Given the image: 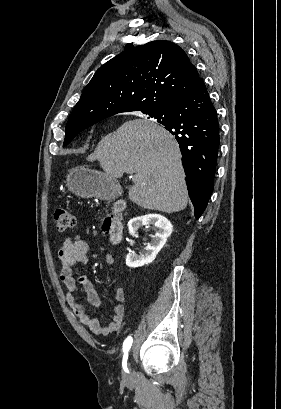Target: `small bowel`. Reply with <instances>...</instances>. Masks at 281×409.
Listing matches in <instances>:
<instances>
[{
    "mask_svg": "<svg viewBox=\"0 0 281 409\" xmlns=\"http://www.w3.org/2000/svg\"><path fill=\"white\" fill-rule=\"evenodd\" d=\"M90 245L78 235L65 238L58 251L60 259V280L66 288L65 299L80 323L88 327L96 335H109L118 331L126 313L123 302L125 301V291L123 288L115 290V299L118 301L113 308V319L106 326L93 318L84 308V302L94 308L101 307V300L94 288L92 281L85 275L75 277L74 270L80 263H85L88 259ZM105 263L108 266L114 264V257L111 254L105 256ZM77 285H81L84 291V298L79 299L75 295Z\"/></svg>",
    "mask_w": 281,
    "mask_h": 409,
    "instance_id": "small-bowel-1",
    "label": "small bowel"
}]
</instances>
